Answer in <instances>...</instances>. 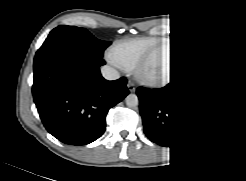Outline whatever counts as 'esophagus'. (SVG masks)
Returning <instances> with one entry per match:
<instances>
[{"label":"esophagus","mask_w":246,"mask_h":181,"mask_svg":"<svg viewBox=\"0 0 246 181\" xmlns=\"http://www.w3.org/2000/svg\"><path fill=\"white\" fill-rule=\"evenodd\" d=\"M128 88H129V90L131 91V92H134L135 91V87H134V85L133 84H128Z\"/></svg>","instance_id":"esophagus-1"}]
</instances>
